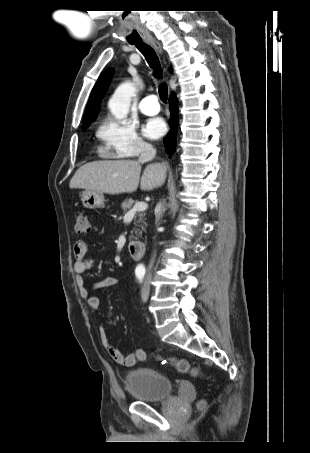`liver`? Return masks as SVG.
<instances>
[{"label": "liver", "instance_id": "obj_1", "mask_svg": "<svg viewBox=\"0 0 310 453\" xmlns=\"http://www.w3.org/2000/svg\"><path fill=\"white\" fill-rule=\"evenodd\" d=\"M141 168V163L135 160L89 162L76 171L69 187L115 195L135 192L139 182L143 191H151L163 185L166 178L164 165H147L140 178Z\"/></svg>", "mask_w": 310, "mask_h": 453}]
</instances>
